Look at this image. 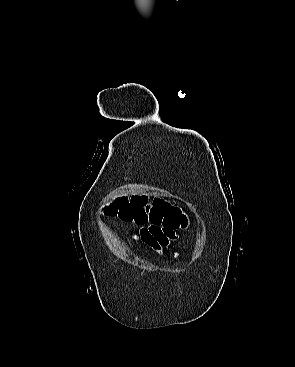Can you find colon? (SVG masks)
I'll use <instances>...</instances> for the list:
<instances>
[{
	"mask_svg": "<svg viewBox=\"0 0 295 367\" xmlns=\"http://www.w3.org/2000/svg\"><path fill=\"white\" fill-rule=\"evenodd\" d=\"M123 214L127 220L136 223L146 221L157 222L162 219L182 226L186 223L178 211L168 208L167 204L162 200L157 199L154 201L151 208L150 206L148 207L145 197H135L132 204L126 201L123 208Z\"/></svg>",
	"mask_w": 295,
	"mask_h": 367,
	"instance_id": "colon-1",
	"label": "colon"
}]
</instances>
